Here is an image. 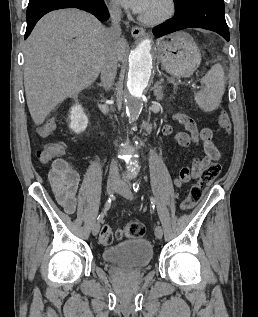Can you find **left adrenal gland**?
<instances>
[{
	"mask_svg": "<svg viewBox=\"0 0 258 317\" xmlns=\"http://www.w3.org/2000/svg\"><path fill=\"white\" fill-rule=\"evenodd\" d=\"M161 82H162V80H160V82H155V84L153 86V92H154V96H156V100H161V98L163 96Z\"/></svg>",
	"mask_w": 258,
	"mask_h": 317,
	"instance_id": "a2214340",
	"label": "left adrenal gland"
}]
</instances>
